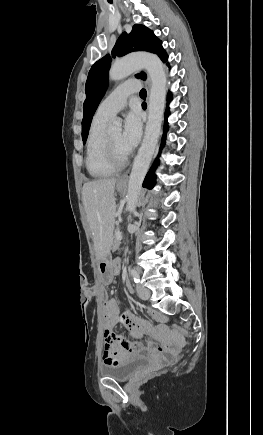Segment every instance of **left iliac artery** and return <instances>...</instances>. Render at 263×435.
I'll use <instances>...</instances> for the list:
<instances>
[{
    "instance_id": "left-iliac-artery-1",
    "label": "left iliac artery",
    "mask_w": 263,
    "mask_h": 435,
    "mask_svg": "<svg viewBox=\"0 0 263 435\" xmlns=\"http://www.w3.org/2000/svg\"><path fill=\"white\" fill-rule=\"evenodd\" d=\"M130 273H131V276L134 279V282L135 283H139L140 282V276H139L138 272L135 269H131Z\"/></svg>"
}]
</instances>
